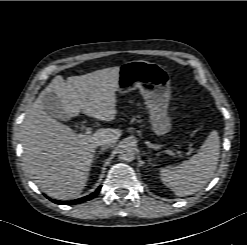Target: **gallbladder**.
<instances>
[{"label":"gallbladder","mask_w":247,"mask_h":245,"mask_svg":"<svg viewBox=\"0 0 247 245\" xmlns=\"http://www.w3.org/2000/svg\"><path fill=\"white\" fill-rule=\"evenodd\" d=\"M44 110L53 118L66 120L67 114L65 113L59 99L53 92L46 93L42 99Z\"/></svg>","instance_id":"gallbladder-1"}]
</instances>
